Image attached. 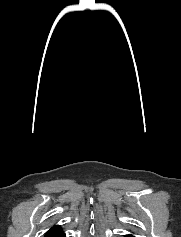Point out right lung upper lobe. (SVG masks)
Masks as SVG:
<instances>
[{"instance_id": "obj_1", "label": "right lung upper lobe", "mask_w": 181, "mask_h": 237, "mask_svg": "<svg viewBox=\"0 0 181 237\" xmlns=\"http://www.w3.org/2000/svg\"><path fill=\"white\" fill-rule=\"evenodd\" d=\"M61 233H63L62 228L59 225H54L46 232L45 237H57Z\"/></svg>"}]
</instances>
